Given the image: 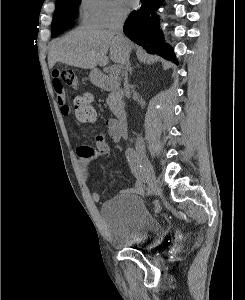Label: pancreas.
Listing matches in <instances>:
<instances>
[{"mask_svg":"<svg viewBox=\"0 0 245 300\" xmlns=\"http://www.w3.org/2000/svg\"><path fill=\"white\" fill-rule=\"evenodd\" d=\"M110 79L114 82L115 90L109 94L107 103L112 111L124 108L123 91L120 89V82L117 75H110Z\"/></svg>","mask_w":245,"mask_h":300,"instance_id":"cf45deb5","label":"pancreas"}]
</instances>
